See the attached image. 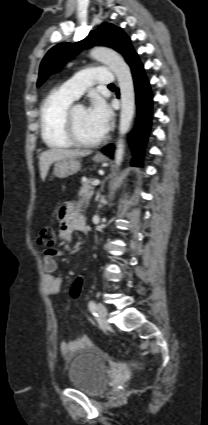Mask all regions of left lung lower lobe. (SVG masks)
<instances>
[{
    "instance_id": "left-lung-lower-lobe-1",
    "label": "left lung lower lobe",
    "mask_w": 208,
    "mask_h": 425,
    "mask_svg": "<svg viewBox=\"0 0 208 425\" xmlns=\"http://www.w3.org/2000/svg\"><path fill=\"white\" fill-rule=\"evenodd\" d=\"M131 72L134 79L136 104L138 109L137 121L133 131L129 135L134 158L131 162L133 165H141L144 148L151 125L152 96L149 82L145 76L144 69L139 59L136 58L131 64ZM119 95V92H117ZM106 155H113V147L111 145L102 149Z\"/></svg>"
}]
</instances>
